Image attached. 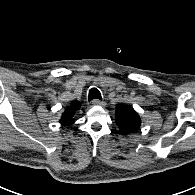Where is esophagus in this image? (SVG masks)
<instances>
[{
	"label": "esophagus",
	"mask_w": 195,
	"mask_h": 195,
	"mask_svg": "<svg viewBox=\"0 0 195 195\" xmlns=\"http://www.w3.org/2000/svg\"><path fill=\"white\" fill-rule=\"evenodd\" d=\"M92 105H94V106H104L105 103L103 101H100L99 99H94L92 101Z\"/></svg>",
	"instance_id": "obj_1"
}]
</instances>
